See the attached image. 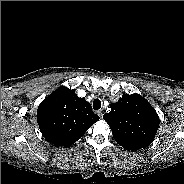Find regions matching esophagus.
<instances>
[{"label":"esophagus","instance_id":"34e87169","mask_svg":"<svg viewBox=\"0 0 184 184\" xmlns=\"http://www.w3.org/2000/svg\"><path fill=\"white\" fill-rule=\"evenodd\" d=\"M97 113H98L99 117L102 118L103 114H104V111L103 110H98Z\"/></svg>","mask_w":184,"mask_h":184}]
</instances>
